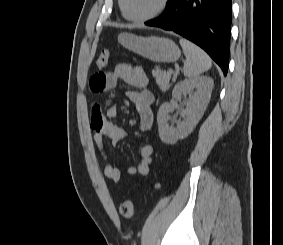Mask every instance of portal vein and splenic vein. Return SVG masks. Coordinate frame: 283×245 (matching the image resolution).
Returning a JSON list of instances; mask_svg holds the SVG:
<instances>
[{"label":"portal vein and splenic vein","instance_id":"portal-vein-and-splenic-vein-1","mask_svg":"<svg viewBox=\"0 0 283 245\" xmlns=\"http://www.w3.org/2000/svg\"><path fill=\"white\" fill-rule=\"evenodd\" d=\"M168 73L172 74V73H173V69L170 68V69L168 70Z\"/></svg>","mask_w":283,"mask_h":245}]
</instances>
